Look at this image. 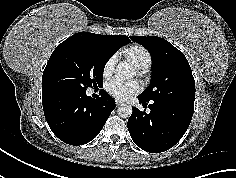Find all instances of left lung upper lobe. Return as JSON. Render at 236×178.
<instances>
[{"instance_id": "1", "label": "left lung upper lobe", "mask_w": 236, "mask_h": 178, "mask_svg": "<svg viewBox=\"0 0 236 178\" xmlns=\"http://www.w3.org/2000/svg\"><path fill=\"white\" fill-rule=\"evenodd\" d=\"M152 58V78L139 95L145 101L194 106L195 81L184 54L167 40L155 36H130Z\"/></svg>"}]
</instances>
